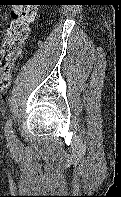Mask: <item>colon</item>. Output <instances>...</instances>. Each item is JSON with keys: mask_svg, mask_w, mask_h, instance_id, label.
Masks as SVG:
<instances>
[{"mask_svg": "<svg viewBox=\"0 0 121 197\" xmlns=\"http://www.w3.org/2000/svg\"><path fill=\"white\" fill-rule=\"evenodd\" d=\"M11 16L5 39L0 50V92L8 89L15 59L29 34L30 24L35 20L37 6L29 0H13Z\"/></svg>", "mask_w": 121, "mask_h": 197, "instance_id": "1", "label": "colon"}]
</instances>
